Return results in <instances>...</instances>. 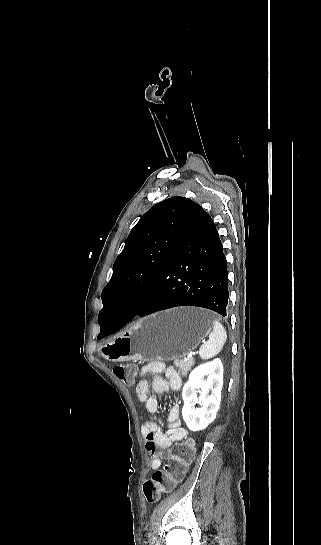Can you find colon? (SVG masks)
I'll return each instance as SVG.
<instances>
[{
    "label": "colon",
    "mask_w": 321,
    "mask_h": 545,
    "mask_svg": "<svg viewBox=\"0 0 321 545\" xmlns=\"http://www.w3.org/2000/svg\"><path fill=\"white\" fill-rule=\"evenodd\" d=\"M114 375L125 385H132L135 378V369L130 364H118L113 367ZM194 457V445L186 440L174 445L169 462L156 470L143 483V494L150 503L157 502L161 496L170 493L180 482Z\"/></svg>",
    "instance_id": "5ec220e1"
}]
</instances>
